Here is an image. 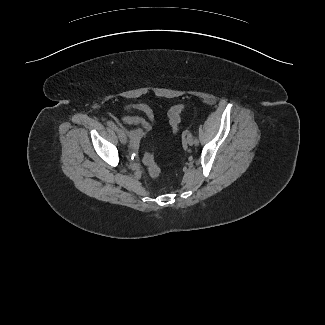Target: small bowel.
I'll return each mask as SVG.
<instances>
[{
	"instance_id": "small-bowel-1",
	"label": "small bowel",
	"mask_w": 325,
	"mask_h": 325,
	"mask_svg": "<svg viewBox=\"0 0 325 325\" xmlns=\"http://www.w3.org/2000/svg\"><path fill=\"white\" fill-rule=\"evenodd\" d=\"M126 110L137 109L146 113L148 120L139 116H126L121 119L123 123L142 126L143 130H128L127 134L131 139L133 149L137 150L143 137L151 130L155 120L154 114L149 106L143 103H130L125 106Z\"/></svg>"
}]
</instances>
